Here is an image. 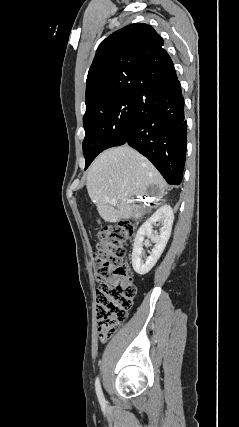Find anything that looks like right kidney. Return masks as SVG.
<instances>
[{
  "instance_id": "obj_1",
  "label": "right kidney",
  "mask_w": 239,
  "mask_h": 427,
  "mask_svg": "<svg viewBox=\"0 0 239 427\" xmlns=\"http://www.w3.org/2000/svg\"><path fill=\"white\" fill-rule=\"evenodd\" d=\"M174 220V213L169 205L160 207L148 220H146L137 231L132 252V266L136 273L145 275L148 273L160 258L164 251L166 244L169 240L172 225ZM158 222L161 224L159 234L153 233V224ZM145 237L152 238L155 245L150 252L149 257L144 262L142 260L143 245H147L144 242Z\"/></svg>"
}]
</instances>
